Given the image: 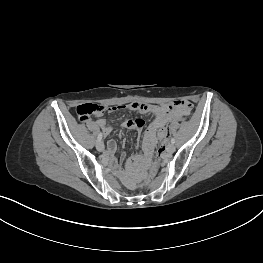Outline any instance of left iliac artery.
Returning a JSON list of instances; mask_svg holds the SVG:
<instances>
[{"label":"left iliac artery","mask_w":263,"mask_h":263,"mask_svg":"<svg viewBox=\"0 0 263 263\" xmlns=\"http://www.w3.org/2000/svg\"><path fill=\"white\" fill-rule=\"evenodd\" d=\"M171 143L174 144L175 143V139L171 138Z\"/></svg>","instance_id":"left-iliac-artery-1"}]
</instances>
